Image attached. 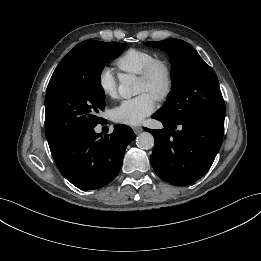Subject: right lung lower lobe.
Here are the masks:
<instances>
[{
    "label": "right lung lower lobe",
    "instance_id": "98d812e1",
    "mask_svg": "<svg viewBox=\"0 0 261 261\" xmlns=\"http://www.w3.org/2000/svg\"><path fill=\"white\" fill-rule=\"evenodd\" d=\"M133 130L122 124L110 135L96 133L94 127L75 133L50 149L61 174L80 189H98L119 173Z\"/></svg>",
    "mask_w": 261,
    "mask_h": 261
}]
</instances>
